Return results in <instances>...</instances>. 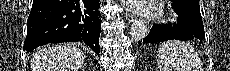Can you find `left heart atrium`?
<instances>
[{
  "label": "left heart atrium",
  "instance_id": "39dd6f15",
  "mask_svg": "<svg viewBox=\"0 0 230 71\" xmlns=\"http://www.w3.org/2000/svg\"><path fill=\"white\" fill-rule=\"evenodd\" d=\"M128 3L130 4V6L136 10H141L144 11L145 8V4L147 3V1H128Z\"/></svg>",
  "mask_w": 230,
  "mask_h": 71
}]
</instances>
